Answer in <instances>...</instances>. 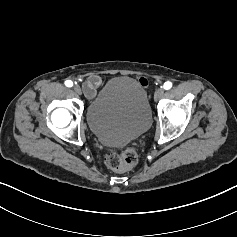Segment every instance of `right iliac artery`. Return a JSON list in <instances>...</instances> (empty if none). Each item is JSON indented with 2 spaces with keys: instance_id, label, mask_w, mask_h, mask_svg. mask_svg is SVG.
Returning a JSON list of instances; mask_svg holds the SVG:
<instances>
[{
  "instance_id": "82829eb1",
  "label": "right iliac artery",
  "mask_w": 237,
  "mask_h": 237,
  "mask_svg": "<svg viewBox=\"0 0 237 237\" xmlns=\"http://www.w3.org/2000/svg\"><path fill=\"white\" fill-rule=\"evenodd\" d=\"M65 85L67 87H72L73 86V82L71 80H67V81H65Z\"/></svg>"
}]
</instances>
